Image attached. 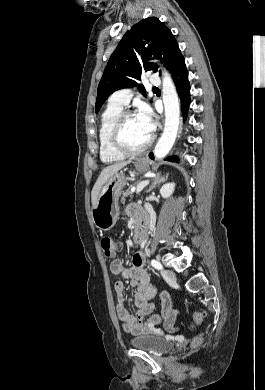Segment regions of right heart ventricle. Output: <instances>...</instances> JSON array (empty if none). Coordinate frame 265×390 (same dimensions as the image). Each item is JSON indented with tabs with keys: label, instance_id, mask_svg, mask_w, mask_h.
Returning <instances> with one entry per match:
<instances>
[{
	"label": "right heart ventricle",
	"instance_id": "right-heart-ventricle-1",
	"mask_svg": "<svg viewBox=\"0 0 265 390\" xmlns=\"http://www.w3.org/2000/svg\"><path fill=\"white\" fill-rule=\"evenodd\" d=\"M122 111L123 107L109 103L101 115L98 140L100 159L104 163L120 162L125 158L114 150L110 140L112 127Z\"/></svg>",
	"mask_w": 265,
	"mask_h": 390
}]
</instances>
